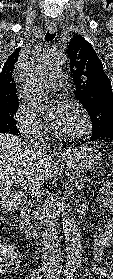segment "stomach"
<instances>
[{
    "mask_svg": "<svg viewBox=\"0 0 113 279\" xmlns=\"http://www.w3.org/2000/svg\"><path fill=\"white\" fill-rule=\"evenodd\" d=\"M101 160L102 154L94 145H82L62 155V161L78 172L94 169Z\"/></svg>",
    "mask_w": 113,
    "mask_h": 279,
    "instance_id": "1",
    "label": "stomach"
}]
</instances>
